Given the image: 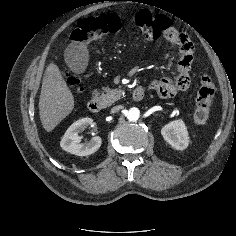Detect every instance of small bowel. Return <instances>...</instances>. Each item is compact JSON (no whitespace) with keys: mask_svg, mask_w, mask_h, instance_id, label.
I'll list each match as a JSON object with an SVG mask.
<instances>
[{"mask_svg":"<svg viewBox=\"0 0 236 236\" xmlns=\"http://www.w3.org/2000/svg\"><path fill=\"white\" fill-rule=\"evenodd\" d=\"M183 36L184 38L179 43L172 42L181 50V57L178 62L176 76L174 78L163 77L151 82L149 85V88L157 91L162 97L169 98L179 92L177 88L178 83L187 82V85L183 87V90H186L189 87L194 49L192 42L184 34Z\"/></svg>","mask_w":236,"mask_h":236,"instance_id":"c3829d8e","label":"small bowel"}]
</instances>
